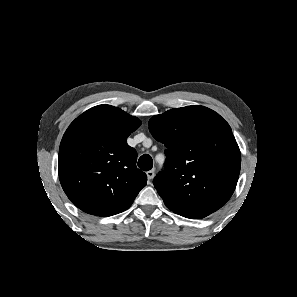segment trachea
Listing matches in <instances>:
<instances>
[{"label": "trachea", "mask_w": 297, "mask_h": 297, "mask_svg": "<svg viewBox=\"0 0 297 297\" xmlns=\"http://www.w3.org/2000/svg\"><path fill=\"white\" fill-rule=\"evenodd\" d=\"M153 160L150 155L144 154L138 160V167L143 171H149L152 169Z\"/></svg>", "instance_id": "obj_1"}]
</instances>
